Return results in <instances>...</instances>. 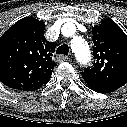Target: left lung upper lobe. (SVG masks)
<instances>
[{
  "mask_svg": "<svg viewBox=\"0 0 127 127\" xmlns=\"http://www.w3.org/2000/svg\"><path fill=\"white\" fill-rule=\"evenodd\" d=\"M94 65L84 69L86 82L98 81L116 88L127 83V36L110 18L92 30Z\"/></svg>",
  "mask_w": 127,
  "mask_h": 127,
  "instance_id": "obj_1",
  "label": "left lung upper lobe"
}]
</instances>
